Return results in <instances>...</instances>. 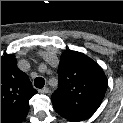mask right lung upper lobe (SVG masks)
Instances as JSON below:
<instances>
[{
	"instance_id": "1",
	"label": "right lung upper lobe",
	"mask_w": 123,
	"mask_h": 123,
	"mask_svg": "<svg viewBox=\"0 0 123 123\" xmlns=\"http://www.w3.org/2000/svg\"><path fill=\"white\" fill-rule=\"evenodd\" d=\"M15 55L1 57V123H22L29 111V99L37 93Z\"/></svg>"
}]
</instances>
